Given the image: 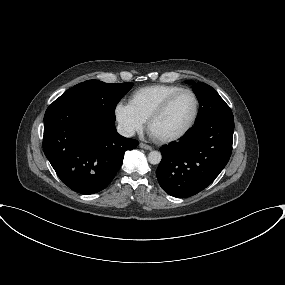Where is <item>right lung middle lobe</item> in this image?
<instances>
[{
  "label": "right lung middle lobe",
  "mask_w": 285,
  "mask_h": 285,
  "mask_svg": "<svg viewBox=\"0 0 285 285\" xmlns=\"http://www.w3.org/2000/svg\"><path fill=\"white\" fill-rule=\"evenodd\" d=\"M132 86L133 83L89 80L70 88L56 100L77 105L114 122L116 105Z\"/></svg>",
  "instance_id": "dd1d6c3e"
}]
</instances>
